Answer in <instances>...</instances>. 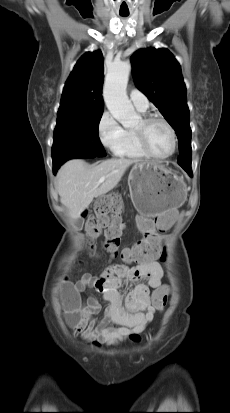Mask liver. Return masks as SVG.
Wrapping results in <instances>:
<instances>
[{
	"label": "liver",
	"instance_id": "liver-1",
	"mask_svg": "<svg viewBox=\"0 0 230 413\" xmlns=\"http://www.w3.org/2000/svg\"><path fill=\"white\" fill-rule=\"evenodd\" d=\"M138 162L125 158L109 159L96 166L81 159L66 162L57 173V190L71 219H78L94 198L117 186L129 166ZM102 177L105 181L98 184Z\"/></svg>",
	"mask_w": 230,
	"mask_h": 413
}]
</instances>
